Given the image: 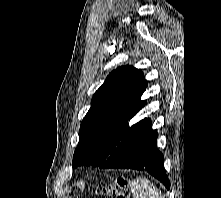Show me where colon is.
Returning a JSON list of instances; mask_svg holds the SVG:
<instances>
[{
  "mask_svg": "<svg viewBox=\"0 0 221 198\" xmlns=\"http://www.w3.org/2000/svg\"><path fill=\"white\" fill-rule=\"evenodd\" d=\"M103 198H132L129 181L124 177L116 178L99 191Z\"/></svg>",
  "mask_w": 221,
  "mask_h": 198,
  "instance_id": "5ec220e1",
  "label": "colon"
}]
</instances>
